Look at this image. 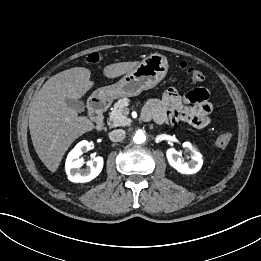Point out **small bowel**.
I'll return each instance as SVG.
<instances>
[{
    "label": "small bowel",
    "mask_w": 261,
    "mask_h": 261,
    "mask_svg": "<svg viewBox=\"0 0 261 261\" xmlns=\"http://www.w3.org/2000/svg\"><path fill=\"white\" fill-rule=\"evenodd\" d=\"M208 98L209 92L204 87L195 88L183 96L176 89L167 88L159 99H152L146 104L143 118L157 123L186 122L196 128H204L211 123L212 105Z\"/></svg>",
    "instance_id": "small-bowel-1"
}]
</instances>
